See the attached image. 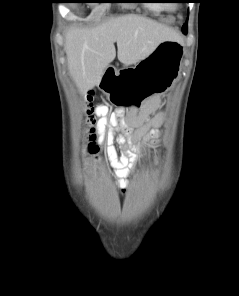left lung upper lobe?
Segmentation results:
<instances>
[{"label":"left lung upper lobe","instance_id":"5c2ea615","mask_svg":"<svg viewBox=\"0 0 239 296\" xmlns=\"http://www.w3.org/2000/svg\"><path fill=\"white\" fill-rule=\"evenodd\" d=\"M182 29H185L186 30L187 29V24H184L183 27H182Z\"/></svg>","mask_w":239,"mask_h":296}]
</instances>
